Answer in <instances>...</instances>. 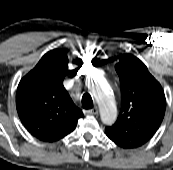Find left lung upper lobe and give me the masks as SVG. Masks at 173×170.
<instances>
[{
	"instance_id": "1",
	"label": "left lung upper lobe",
	"mask_w": 173,
	"mask_h": 170,
	"mask_svg": "<svg viewBox=\"0 0 173 170\" xmlns=\"http://www.w3.org/2000/svg\"><path fill=\"white\" fill-rule=\"evenodd\" d=\"M121 85V110L115 124L105 128L118 146L128 149L146 143L159 128L166 108L160 83L137 57L128 55L115 65Z\"/></svg>"
}]
</instances>
